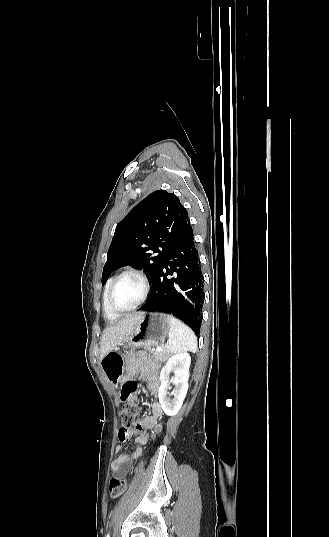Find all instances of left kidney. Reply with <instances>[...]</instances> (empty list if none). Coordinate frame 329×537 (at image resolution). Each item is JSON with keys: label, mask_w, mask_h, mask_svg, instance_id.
<instances>
[{"label": "left kidney", "mask_w": 329, "mask_h": 537, "mask_svg": "<svg viewBox=\"0 0 329 537\" xmlns=\"http://www.w3.org/2000/svg\"><path fill=\"white\" fill-rule=\"evenodd\" d=\"M190 362L191 357L188 353L175 354L169 357L161 370L158 397L164 413L168 416L176 415L182 407L188 390ZM171 371L174 372V376L169 380ZM170 383L174 385L173 399L167 397Z\"/></svg>", "instance_id": "left-kidney-1"}]
</instances>
